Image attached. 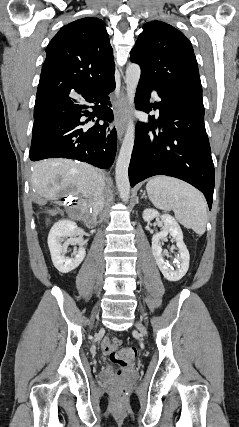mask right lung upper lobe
<instances>
[{
  "mask_svg": "<svg viewBox=\"0 0 239 427\" xmlns=\"http://www.w3.org/2000/svg\"><path fill=\"white\" fill-rule=\"evenodd\" d=\"M36 101L69 89L91 88L114 76L104 22L82 18L62 27L46 48Z\"/></svg>",
  "mask_w": 239,
  "mask_h": 427,
  "instance_id": "cb5924a9",
  "label": "right lung upper lobe"
}]
</instances>
